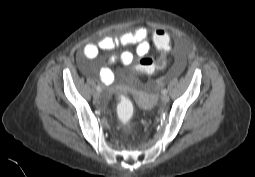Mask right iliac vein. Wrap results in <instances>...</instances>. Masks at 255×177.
<instances>
[{
	"mask_svg": "<svg viewBox=\"0 0 255 177\" xmlns=\"http://www.w3.org/2000/svg\"><path fill=\"white\" fill-rule=\"evenodd\" d=\"M93 97H94L95 100H98L99 97H100V93H99L98 91L95 92L94 95H93Z\"/></svg>",
	"mask_w": 255,
	"mask_h": 177,
	"instance_id": "63e3f726",
	"label": "right iliac vein"
}]
</instances>
